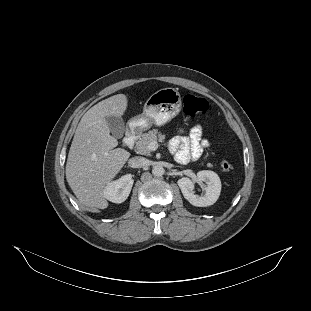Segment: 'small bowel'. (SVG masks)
Returning <instances> with one entry per match:
<instances>
[{"mask_svg": "<svg viewBox=\"0 0 311 311\" xmlns=\"http://www.w3.org/2000/svg\"><path fill=\"white\" fill-rule=\"evenodd\" d=\"M208 145V141L202 137V127L200 125L193 126L188 134L179 133L169 143L176 161L181 164L200 158L203 150Z\"/></svg>", "mask_w": 311, "mask_h": 311, "instance_id": "small-bowel-1", "label": "small bowel"}]
</instances>
